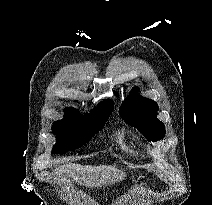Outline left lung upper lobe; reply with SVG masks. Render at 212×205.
<instances>
[{"instance_id": "1", "label": "left lung upper lobe", "mask_w": 212, "mask_h": 205, "mask_svg": "<svg viewBox=\"0 0 212 205\" xmlns=\"http://www.w3.org/2000/svg\"><path fill=\"white\" fill-rule=\"evenodd\" d=\"M138 90H132V94L123 101L119 113L127 123L137 127L148 140H161L165 136V126L157 119L158 105L151 99L139 96Z\"/></svg>"}]
</instances>
